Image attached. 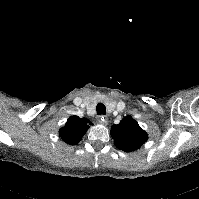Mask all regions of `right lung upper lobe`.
I'll return each instance as SVG.
<instances>
[{"mask_svg": "<svg viewBox=\"0 0 199 199\" xmlns=\"http://www.w3.org/2000/svg\"><path fill=\"white\" fill-rule=\"evenodd\" d=\"M89 125L92 123L88 119L71 116L66 125L59 130L60 136L67 144H78L90 127Z\"/></svg>", "mask_w": 199, "mask_h": 199, "instance_id": "1", "label": "right lung upper lobe"}]
</instances>
